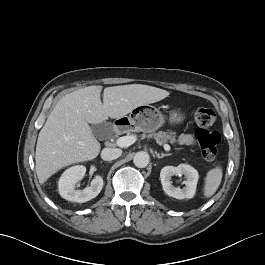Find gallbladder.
Returning <instances> with one entry per match:
<instances>
[{"label": "gallbladder", "mask_w": 265, "mask_h": 265, "mask_svg": "<svg viewBox=\"0 0 265 265\" xmlns=\"http://www.w3.org/2000/svg\"><path fill=\"white\" fill-rule=\"evenodd\" d=\"M112 129V124L108 122H102L92 126L93 134L99 139L105 138L112 132Z\"/></svg>", "instance_id": "gallbladder-1"}]
</instances>
